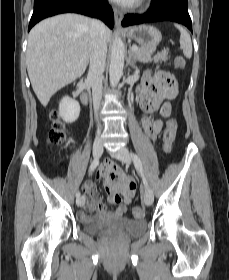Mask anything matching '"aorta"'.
Here are the masks:
<instances>
[{
  "label": "aorta",
  "mask_w": 229,
  "mask_h": 280,
  "mask_svg": "<svg viewBox=\"0 0 229 280\" xmlns=\"http://www.w3.org/2000/svg\"><path fill=\"white\" fill-rule=\"evenodd\" d=\"M125 46L122 39L115 37L111 49L109 79L111 87H116L123 75Z\"/></svg>",
  "instance_id": "aorta-1"
}]
</instances>
